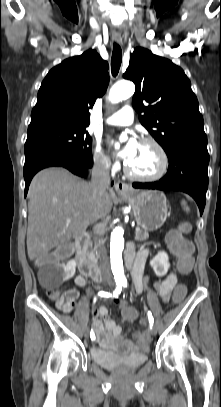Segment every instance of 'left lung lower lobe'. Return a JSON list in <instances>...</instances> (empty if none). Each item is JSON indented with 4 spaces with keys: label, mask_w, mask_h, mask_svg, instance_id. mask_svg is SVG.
<instances>
[{
    "label": "left lung lower lobe",
    "mask_w": 221,
    "mask_h": 407,
    "mask_svg": "<svg viewBox=\"0 0 221 407\" xmlns=\"http://www.w3.org/2000/svg\"><path fill=\"white\" fill-rule=\"evenodd\" d=\"M167 174L156 182L133 183L134 188L176 190L191 195L203 213L208 188L209 154L207 138L192 137L182 139L167 155Z\"/></svg>",
    "instance_id": "obj_1"
}]
</instances>
